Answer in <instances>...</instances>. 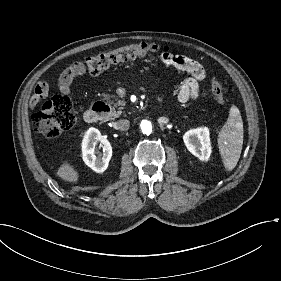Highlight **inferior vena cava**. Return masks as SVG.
I'll return each instance as SVG.
<instances>
[{"mask_svg":"<svg viewBox=\"0 0 281 281\" xmlns=\"http://www.w3.org/2000/svg\"><path fill=\"white\" fill-rule=\"evenodd\" d=\"M115 126H116V129H118V130L126 131L130 127V122H129V120L121 119L116 122Z\"/></svg>","mask_w":281,"mask_h":281,"instance_id":"1","label":"inferior vena cava"}]
</instances>
